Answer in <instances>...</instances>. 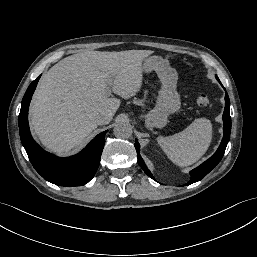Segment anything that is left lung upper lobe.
<instances>
[{"label":"left lung upper lobe","mask_w":257,"mask_h":257,"mask_svg":"<svg viewBox=\"0 0 257 257\" xmlns=\"http://www.w3.org/2000/svg\"><path fill=\"white\" fill-rule=\"evenodd\" d=\"M216 79L219 81L218 77L216 76Z\"/></svg>","instance_id":"5c2ea615"}]
</instances>
